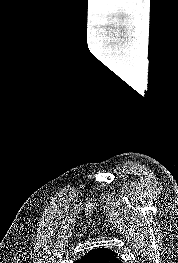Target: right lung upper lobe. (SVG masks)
I'll list each match as a JSON object with an SVG mask.
<instances>
[{"label": "right lung upper lobe", "instance_id": "right-lung-upper-lobe-1", "mask_svg": "<svg viewBox=\"0 0 178 263\" xmlns=\"http://www.w3.org/2000/svg\"><path fill=\"white\" fill-rule=\"evenodd\" d=\"M74 263H122L115 251L108 248L93 249Z\"/></svg>", "mask_w": 178, "mask_h": 263}]
</instances>
